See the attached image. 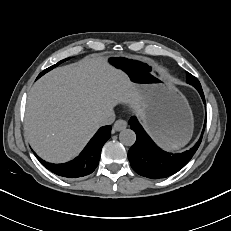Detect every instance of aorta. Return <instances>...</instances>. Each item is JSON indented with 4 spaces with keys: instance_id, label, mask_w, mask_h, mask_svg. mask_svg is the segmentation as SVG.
<instances>
[{
    "instance_id": "obj_1",
    "label": "aorta",
    "mask_w": 231,
    "mask_h": 231,
    "mask_svg": "<svg viewBox=\"0 0 231 231\" xmlns=\"http://www.w3.org/2000/svg\"><path fill=\"white\" fill-rule=\"evenodd\" d=\"M119 140L126 146H132L136 141V134L131 129H124L119 134Z\"/></svg>"
}]
</instances>
